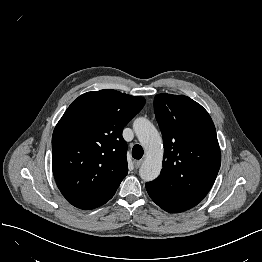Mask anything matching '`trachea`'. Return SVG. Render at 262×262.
Returning <instances> with one entry per match:
<instances>
[{
  "mask_svg": "<svg viewBox=\"0 0 262 262\" xmlns=\"http://www.w3.org/2000/svg\"><path fill=\"white\" fill-rule=\"evenodd\" d=\"M144 154L143 148L140 145H135L132 149V157L134 159H141Z\"/></svg>",
  "mask_w": 262,
  "mask_h": 262,
  "instance_id": "3493384b",
  "label": "trachea"
}]
</instances>
